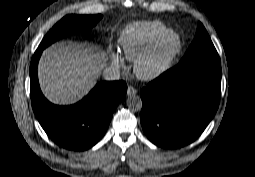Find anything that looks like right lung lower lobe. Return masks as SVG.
Returning <instances> with one entry per match:
<instances>
[{
	"label": "right lung lower lobe",
	"mask_w": 255,
	"mask_h": 177,
	"mask_svg": "<svg viewBox=\"0 0 255 177\" xmlns=\"http://www.w3.org/2000/svg\"><path fill=\"white\" fill-rule=\"evenodd\" d=\"M42 50L37 49L30 65L31 103L33 111L47 133L59 146L70 150H86L105 134L112 114L125 97L124 81L101 82L80 102L56 106L42 94L37 65Z\"/></svg>",
	"instance_id": "1"
}]
</instances>
